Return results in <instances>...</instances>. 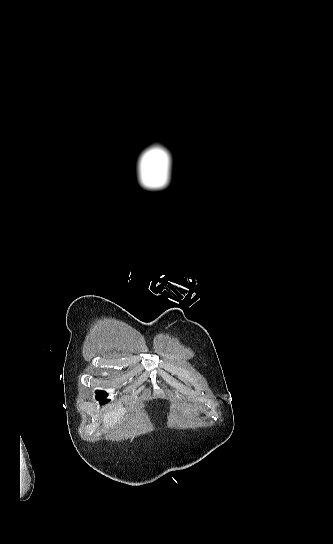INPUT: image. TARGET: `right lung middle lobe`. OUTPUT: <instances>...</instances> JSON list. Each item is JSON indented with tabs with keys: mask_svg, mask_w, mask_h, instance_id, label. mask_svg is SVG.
<instances>
[{
	"mask_svg": "<svg viewBox=\"0 0 333 544\" xmlns=\"http://www.w3.org/2000/svg\"><path fill=\"white\" fill-rule=\"evenodd\" d=\"M106 396H107V393H106V392H104V391H97V397H96V399H97L101 404H105V403L108 402V400L105 399Z\"/></svg>",
	"mask_w": 333,
	"mask_h": 544,
	"instance_id": "1",
	"label": "right lung middle lobe"
}]
</instances>
